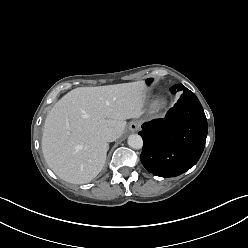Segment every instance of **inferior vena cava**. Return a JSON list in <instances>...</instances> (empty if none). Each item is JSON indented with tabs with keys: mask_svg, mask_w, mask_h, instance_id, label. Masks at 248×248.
Listing matches in <instances>:
<instances>
[{
	"mask_svg": "<svg viewBox=\"0 0 248 248\" xmlns=\"http://www.w3.org/2000/svg\"><path fill=\"white\" fill-rule=\"evenodd\" d=\"M101 137L106 142H113L118 138V134L113 128H106L102 131Z\"/></svg>",
	"mask_w": 248,
	"mask_h": 248,
	"instance_id": "obj_1",
	"label": "inferior vena cava"
}]
</instances>
